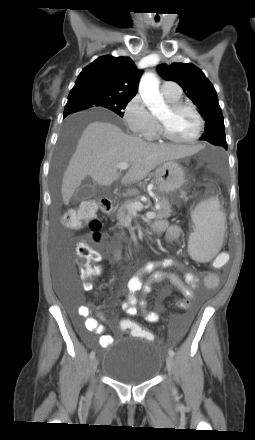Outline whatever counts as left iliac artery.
Masks as SVG:
<instances>
[{"instance_id":"44dca946","label":"left iliac artery","mask_w":255,"mask_h":440,"mask_svg":"<svg viewBox=\"0 0 255 440\" xmlns=\"http://www.w3.org/2000/svg\"><path fill=\"white\" fill-rule=\"evenodd\" d=\"M168 354H169L170 356H174L175 353H174L173 350L170 349L169 352H168Z\"/></svg>"}]
</instances>
